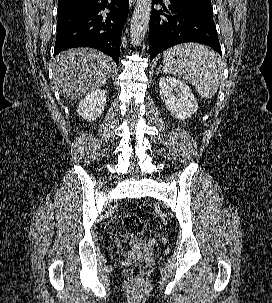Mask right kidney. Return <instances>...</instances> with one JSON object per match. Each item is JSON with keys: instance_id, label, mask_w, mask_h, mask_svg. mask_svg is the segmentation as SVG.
Masks as SVG:
<instances>
[{"instance_id": "1", "label": "right kidney", "mask_w": 272, "mask_h": 303, "mask_svg": "<svg viewBox=\"0 0 272 303\" xmlns=\"http://www.w3.org/2000/svg\"><path fill=\"white\" fill-rule=\"evenodd\" d=\"M106 106V91L102 89L95 90L84 99L77 107V113L88 121H94L100 117Z\"/></svg>"}]
</instances>
